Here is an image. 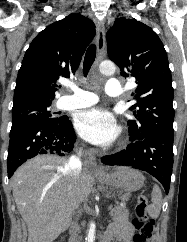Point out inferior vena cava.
I'll use <instances>...</instances> for the list:
<instances>
[{
  "mask_svg": "<svg viewBox=\"0 0 187 242\" xmlns=\"http://www.w3.org/2000/svg\"><path fill=\"white\" fill-rule=\"evenodd\" d=\"M81 154L79 153L78 156L72 155L70 159L68 160V163L66 165V173L71 178H77L82 170V164L80 159ZM78 219L72 223L71 226V237L69 239V242H80V227L78 224Z\"/></svg>",
  "mask_w": 187,
  "mask_h": 242,
  "instance_id": "602c4592",
  "label": "inferior vena cava"
}]
</instances>
